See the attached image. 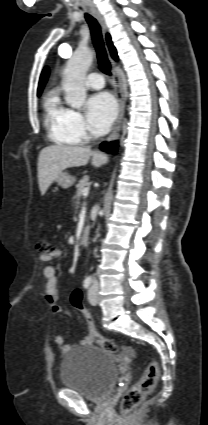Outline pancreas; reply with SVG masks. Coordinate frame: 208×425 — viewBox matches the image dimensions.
Returning <instances> with one entry per match:
<instances>
[{
	"label": "pancreas",
	"instance_id": "1",
	"mask_svg": "<svg viewBox=\"0 0 208 425\" xmlns=\"http://www.w3.org/2000/svg\"><path fill=\"white\" fill-rule=\"evenodd\" d=\"M89 185H90L89 178L87 176L83 177L79 181V183L76 185L77 191H76L75 199L79 200V198L82 196L83 189L88 188Z\"/></svg>",
	"mask_w": 208,
	"mask_h": 425
}]
</instances>
